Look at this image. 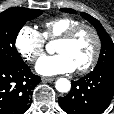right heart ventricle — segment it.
<instances>
[{
	"instance_id": "1",
	"label": "right heart ventricle",
	"mask_w": 114,
	"mask_h": 114,
	"mask_svg": "<svg viewBox=\"0 0 114 114\" xmlns=\"http://www.w3.org/2000/svg\"><path fill=\"white\" fill-rule=\"evenodd\" d=\"M81 23L78 19L69 16H59L49 19L42 24V36L46 40L58 38L70 27Z\"/></svg>"
}]
</instances>
